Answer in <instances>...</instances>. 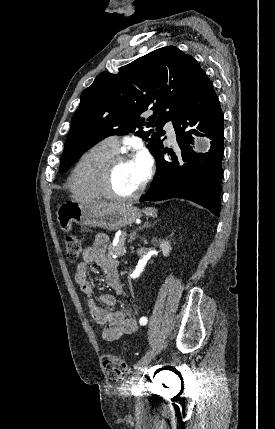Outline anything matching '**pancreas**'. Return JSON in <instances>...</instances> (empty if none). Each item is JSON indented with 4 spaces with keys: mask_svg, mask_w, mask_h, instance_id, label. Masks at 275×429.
Returning a JSON list of instances; mask_svg holds the SVG:
<instances>
[{
    "mask_svg": "<svg viewBox=\"0 0 275 429\" xmlns=\"http://www.w3.org/2000/svg\"><path fill=\"white\" fill-rule=\"evenodd\" d=\"M126 253V247L124 246V238L123 236L120 237L119 242L116 246H109L108 247V256H123Z\"/></svg>",
    "mask_w": 275,
    "mask_h": 429,
    "instance_id": "1",
    "label": "pancreas"
}]
</instances>
